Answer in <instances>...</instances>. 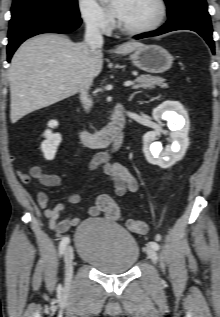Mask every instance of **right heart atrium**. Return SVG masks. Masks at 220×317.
<instances>
[{
	"label": "right heart atrium",
	"mask_w": 220,
	"mask_h": 317,
	"mask_svg": "<svg viewBox=\"0 0 220 317\" xmlns=\"http://www.w3.org/2000/svg\"><path fill=\"white\" fill-rule=\"evenodd\" d=\"M78 10L87 27L101 32L110 29L111 19L96 0H78Z\"/></svg>",
	"instance_id": "right-heart-atrium-1"
}]
</instances>
